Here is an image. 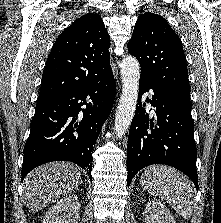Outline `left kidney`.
<instances>
[{"label":"left kidney","mask_w":221,"mask_h":223,"mask_svg":"<svg viewBox=\"0 0 221 223\" xmlns=\"http://www.w3.org/2000/svg\"><path fill=\"white\" fill-rule=\"evenodd\" d=\"M146 223H175L170 212L158 201L152 200L145 208Z\"/></svg>","instance_id":"left-kidney-1"}]
</instances>
